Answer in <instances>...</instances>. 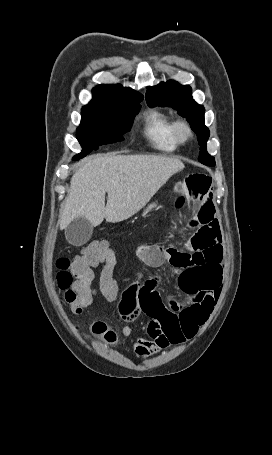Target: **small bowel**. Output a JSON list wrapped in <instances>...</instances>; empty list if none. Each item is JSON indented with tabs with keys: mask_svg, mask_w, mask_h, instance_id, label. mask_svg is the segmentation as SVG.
I'll return each mask as SVG.
<instances>
[{
	"mask_svg": "<svg viewBox=\"0 0 272 455\" xmlns=\"http://www.w3.org/2000/svg\"><path fill=\"white\" fill-rule=\"evenodd\" d=\"M211 186V178L201 172L186 174L176 183V192L181 197L199 203L189 220L195 231L188 248L144 245L138 251L148 267L174 268L178 287L187 297L184 305L174 301L167 304L157 289L156 276L144 283L133 282L123 291L118 302L119 314L127 323L122 329L123 336L132 334V323L140 315L150 318L148 337L137 338L134 343V352L141 358L193 338L219 298L224 253L221 229L208 202Z\"/></svg>",
	"mask_w": 272,
	"mask_h": 455,
	"instance_id": "small-bowel-1",
	"label": "small bowel"
}]
</instances>
